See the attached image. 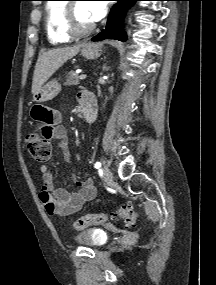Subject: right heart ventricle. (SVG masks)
Segmentation results:
<instances>
[{
  "label": "right heart ventricle",
  "mask_w": 216,
  "mask_h": 285,
  "mask_svg": "<svg viewBox=\"0 0 216 285\" xmlns=\"http://www.w3.org/2000/svg\"><path fill=\"white\" fill-rule=\"evenodd\" d=\"M65 7L66 3L62 0H51L45 6V30L52 45L65 44L71 40L64 28Z\"/></svg>",
  "instance_id": "1"
}]
</instances>
